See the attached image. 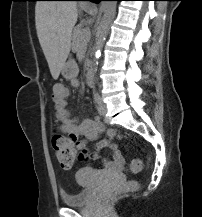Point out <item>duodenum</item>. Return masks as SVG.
Returning a JSON list of instances; mask_svg holds the SVG:
<instances>
[{
    "label": "duodenum",
    "instance_id": "duodenum-1",
    "mask_svg": "<svg viewBox=\"0 0 202 217\" xmlns=\"http://www.w3.org/2000/svg\"><path fill=\"white\" fill-rule=\"evenodd\" d=\"M87 80H88V83L90 85H93L95 83V78H94V72L92 70H90L88 72V75H87Z\"/></svg>",
    "mask_w": 202,
    "mask_h": 217
}]
</instances>
